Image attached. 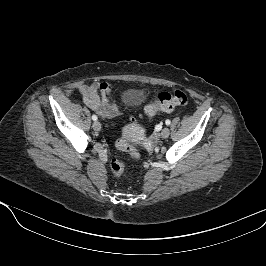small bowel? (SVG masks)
<instances>
[{
  "instance_id": "obj_1",
  "label": "small bowel",
  "mask_w": 266,
  "mask_h": 266,
  "mask_svg": "<svg viewBox=\"0 0 266 266\" xmlns=\"http://www.w3.org/2000/svg\"><path fill=\"white\" fill-rule=\"evenodd\" d=\"M80 94L84 103L103 118H113L121 113V105L113 96L111 85L106 82L82 85Z\"/></svg>"
}]
</instances>
